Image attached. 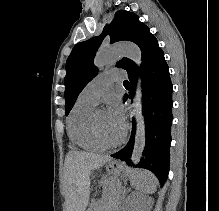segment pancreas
I'll return each mask as SVG.
<instances>
[{"label":"pancreas","instance_id":"cf45deb5","mask_svg":"<svg viewBox=\"0 0 219 211\" xmlns=\"http://www.w3.org/2000/svg\"><path fill=\"white\" fill-rule=\"evenodd\" d=\"M108 189H113L109 195H105L104 199L90 200L91 207L89 211H120L119 204L121 200L124 199L123 195L119 192H114V189H120L121 186L107 187Z\"/></svg>","mask_w":219,"mask_h":211}]
</instances>
